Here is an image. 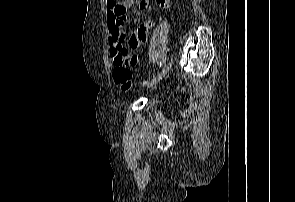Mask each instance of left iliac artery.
Segmentation results:
<instances>
[{"label": "left iliac artery", "instance_id": "44dca946", "mask_svg": "<svg viewBox=\"0 0 295 202\" xmlns=\"http://www.w3.org/2000/svg\"><path fill=\"white\" fill-rule=\"evenodd\" d=\"M166 61V56H163L160 63H159V68H161L163 66V64L165 63Z\"/></svg>", "mask_w": 295, "mask_h": 202}]
</instances>
